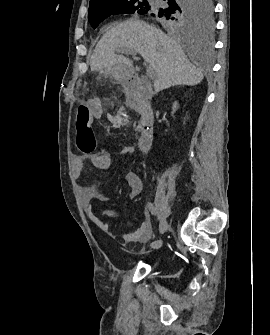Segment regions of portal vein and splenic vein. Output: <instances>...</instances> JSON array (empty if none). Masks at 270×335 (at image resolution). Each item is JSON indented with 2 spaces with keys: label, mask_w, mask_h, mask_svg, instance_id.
I'll return each mask as SVG.
<instances>
[{
  "label": "portal vein and splenic vein",
  "mask_w": 270,
  "mask_h": 335,
  "mask_svg": "<svg viewBox=\"0 0 270 335\" xmlns=\"http://www.w3.org/2000/svg\"><path fill=\"white\" fill-rule=\"evenodd\" d=\"M119 52H121V54H125V52H130V54H133V56H136V52L135 50H127V49H124V50H119ZM122 64H127V66H132V64H129V62H127V60H123ZM145 69H150L148 72H147V75H148V83L149 84H152L153 83V80L155 79V76H154V72L151 70L150 66H145Z\"/></svg>",
  "instance_id": "18ae733b"
}]
</instances>
